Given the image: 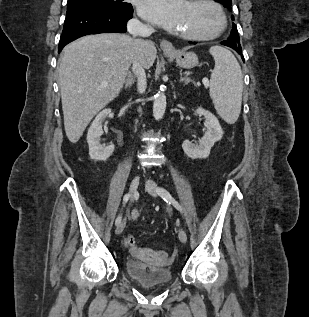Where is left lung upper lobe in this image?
I'll return each mask as SVG.
<instances>
[{"mask_svg": "<svg viewBox=\"0 0 309 317\" xmlns=\"http://www.w3.org/2000/svg\"><path fill=\"white\" fill-rule=\"evenodd\" d=\"M215 1L220 2L221 4H223L224 7H226L227 9H229L231 11V6H232L231 1L232 0H215ZM231 18H232V20H234L233 16ZM228 40L235 43V44H240L237 27L234 23L232 25L231 35L228 38Z\"/></svg>", "mask_w": 309, "mask_h": 317, "instance_id": "left-lung-upper-lobe-1", "label": "left lung upper lobe"}]
</instances>
